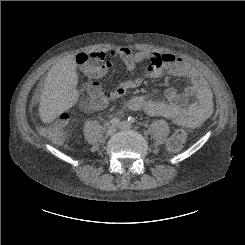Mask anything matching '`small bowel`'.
Segmentation results:
<instances>
[{
    "mask_svg": "<svg viewBox=\"0 0 245 245\" xmlns=\"http://www.w3.org/2000/svg\"><path fill=\"white\" fill-rule=\"evenodd\" d=\"M92 55L103 64L95 69L97 75L105 74L111 67L108 57L121 58L129 71L126 80L118 83L108 93H100L91 85L87 86L88 101L81 104V109L86 113L95 112L105 108L111 99L119 98L132 89L141 87L147 80L164 76H179L190 81L183 91L169 88L165 91V97L169 102L156 100L151 96H136L129 100L128 108L134 111H143L149 115H162L170 119L175 125L193 128L203 123L211 114L212 93L203 76L180 56L138 51L135 52L127 46L111 49L109 52L99 51ZM147 61L145 70L136 74V65ZM73 68H67L70 75ZM191 97L195 101L187 104Z\"/></svg>",
    "mask_w": 245,
    "mask_h": 245,
    "instance_id": "c3829d8e",
    "label": "small bowel"
}]
</instances>
